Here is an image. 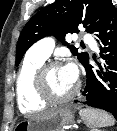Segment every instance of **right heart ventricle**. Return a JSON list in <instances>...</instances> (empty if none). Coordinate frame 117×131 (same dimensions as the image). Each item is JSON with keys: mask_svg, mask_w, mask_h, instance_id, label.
I'll return each instance as SVG.
<instances>
[{"mask_svg": "<svg viewBox=\"0 0 117 131\" xmlns=\"http://www.w3.org/2000/svg\"><path fill=\"white\" fill-rule=\"evenodd\" d=\"M45 60L26 58L16 79V95L19 108L24 113L43 110L47 103L39 98L35 90L37 70Z\"/></svg>", "mask_w": 117, "mask_h": 131, "instance_id": "right-heart-ventricle-1", "label": "right heart ventricle"}]
</instances>
